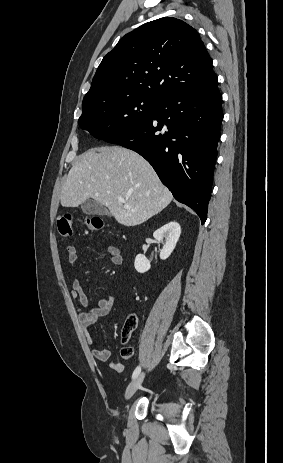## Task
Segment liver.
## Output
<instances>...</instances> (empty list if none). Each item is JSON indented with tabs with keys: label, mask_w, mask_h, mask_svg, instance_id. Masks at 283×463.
Returning <instances> with one entry per match:
<instances>
[{
	"label": "liver",
	"mask_w": 283,
	"mask_h": 463,
	"mask_svg": "<svg viewBox=\"0 0 283 463\" xmlns=\"http://www.w3.org/2000/svg\"><path fill=\"white\" fill-rule=\"evenodd\" d=\"M91 198L108 207L118 223L136 226L166 208L173 196L143 157L114 146L88 150L68 173L61 205L77 207Z\"/></svg>",
	"instance_id": "liver-1"
}]
</instances>
